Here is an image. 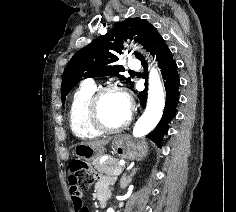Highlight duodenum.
I'll use <instances>...</instances> for the list:
<instances>
[{
	"label": "duodenum",
	"mask_w": 236,
	"mask_h": 212,
	"mask_svg": "<svg viewBox=\"0 0 236 212\" xmlns=\"http://www.w3.org/2000/svg\"><path fill=\"white\" fill-rule=\"evenodd\" d=\"M108 198H109V193L107 190L98 189L97 201L100 207H104L106 205Z\"/></svg>",
	"instance_id": "410a0bca"
}]
</instances>
